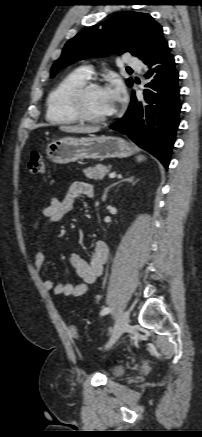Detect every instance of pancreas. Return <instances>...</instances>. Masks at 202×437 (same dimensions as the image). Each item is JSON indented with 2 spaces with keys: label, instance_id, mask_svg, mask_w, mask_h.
Masks as SVG:
<instances>
[{
  "label": "pancreas",
  "instance_id": "1",
  "mask_svg": "<svg viewBox=\"0 0 202 437\" xmlns=\"http://www.w3.org/2000/svg\"><path fill=\"white\" fill-rule=\"evenodd\" d=\"M109 170L110 167H106L105 165L98 164L94 167H88L84 169L83 173L89 179L101 180L109 172Z\"/></svg>",
  "mask_w": 202,
  "mask_h": 437
}]
</instances>
